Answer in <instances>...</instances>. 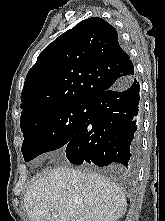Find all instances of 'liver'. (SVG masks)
I'll list each match as a JSON object with an SVG mask.
<instances>
[{
    "mask_svg": "<svg viewBox=\"0 0 165 221\" xmlns=\"http://www.w3.org/2000/svg\"><path fill=\"white\" fill-rule=\"evenodd\" d=\"M24 207L30 221H115L125 214L127 200L105 176L55 167L34 177Z\"/></svg>",
    "mask_w": 165,
    "mask_h": 221,
    "instance_id": "obj_1",
    "label": "liver"
}]
</instances>
